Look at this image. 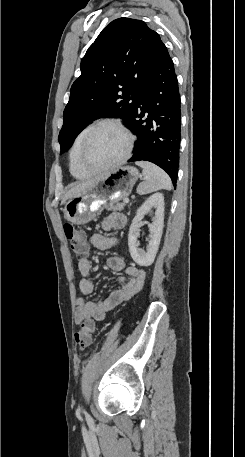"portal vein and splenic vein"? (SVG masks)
<instances>
[{"instance_id": "portal-vein-and-splenic-vein-1", "label": "portal vein and splenic vein", "mask_w": 245, "mask_h": 457, "mask_svg": "<svg viewBox=\"0 0 245 457\" xmlns=\"http://www.w3.org/2000/svg\"><path fill=\"white\" fill-rule=\"evenodd\" d=\"M123 202H129V198H124Z\"/></svg>"}]
</instances>
